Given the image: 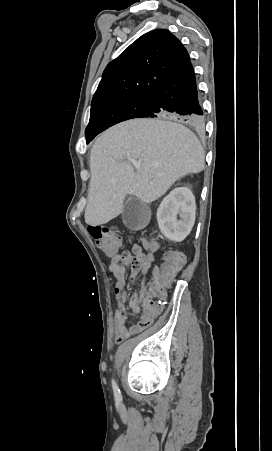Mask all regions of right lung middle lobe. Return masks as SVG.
Segmentation results:
<instances>
[{
    "label": "right lung middle lobe",
    "instance_id": "1",
    "mask_svg": "<svg viewBox=\"0 0 272 451\" xmlns=\"http://www.w3.org/2000/svg\"><path fill=\"white\" fill-rule=\"evenodd\" d=\"M150 96H129L111 99L91 107L85 130L87 144L96 135L119 122L136 118L148 105Z\"/></svg>",
    "mask_w": 272,
    "mask_h": 451
}]
</instances>
